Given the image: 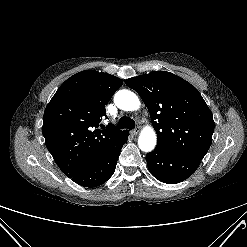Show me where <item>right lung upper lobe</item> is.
Segmentation results:
<instances>
[{
	"label": "right lung upper lobe",
	"instance_id": "obj_1",
	"mask_svg": "<svg viewBox=\"0 0 247 247\" xmlns=\"http://www.w3.org/2000/svg\"><path fill=\"white\" fill-rule=\"evenodd\" d=\"M120 78L93 70L67 79L46 106L42 133L56 164L69 178L85 168L126 131L96 129Z\"/></svg>",
	"mask_w": 247,
	"mask_h": 247
}]
</instances>
